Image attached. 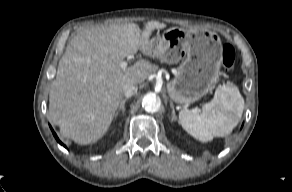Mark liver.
Here are the masks:
<instances>
[{
    "mask_svg": "<svg viewBox=\"0 0 292 192\" xmlns=\"http://www.w3.org/2000/svg\"><path fill=\"white\" fill-rule=\"evenodd\" d=\"M166 24L148 21L97 25L78 32L59 61L49 93V117L63 137L92 144L108 131L124 96L126 83L141 84L158 67L141 59L121 68L125 57L151 55L149 37Z\"/></svg>",
    "mask_w": 292,
    "mask_h": 192,
    "instance_id": "6515ba94",
    "label": "liver"
}]
</instances>
